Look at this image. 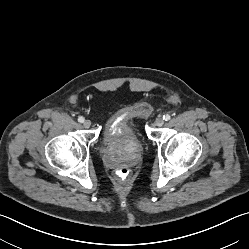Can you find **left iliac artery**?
Segmentation results:
<instances>
[{
	"mask_svg": "<svg viewBox=\"0 0 249 249\" xmlns=\"http://www.w3.org/2000/svg\"><path fill=\"white\" fill-rule=\"evenodd\" d=\"M163 119H164L165 121H169V120L171 119V116H170L169 114H165V115L163 116Z\"/></svg>",
	"mask_w": 249,
	"mask_h": 249,
	"instance_id": "1",
	"label": "left iliac artery"
}]
</instances>
